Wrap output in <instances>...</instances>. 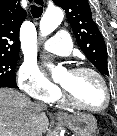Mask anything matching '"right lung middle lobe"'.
<instances>
[{"instance_id": "dd1d6c3e", "label": "right lung middle lobe", "mask_w": 117, "mask_h": 136, "mask_svg": "<svg viewBox=\"0 0 117 136\" xmlns=\"http://www.w3.org/2000/svg\"><path fill=\"white\" fill-rule=\"evenodd\" d=\"M18 57H0V82L16 83L15 67Z\"/></svg>"}]
</instances>
